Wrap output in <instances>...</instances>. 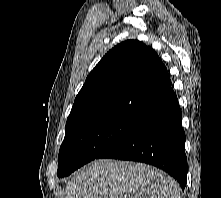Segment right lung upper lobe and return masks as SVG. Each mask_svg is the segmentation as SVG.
<instances>
[{"instance_id":"1","label":"right lung upper lobe","mask_w":221,"mask_h":198,"mask_svg":"<svg viewBox=\"0 0 221 198\" xmlns=\"http://www.w3.org/2000/svg\"><path fill=\"white\" fill-rule=\"evenodd\" d=\"M165 65L151 47L124 41L90 72L67 118L66 133L114 115L142 119L174 95Z\"/></svg>"}]
</instances>
